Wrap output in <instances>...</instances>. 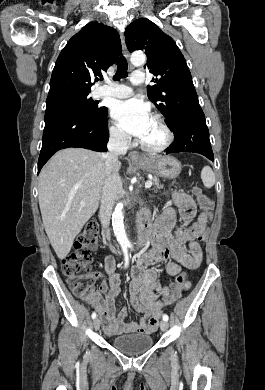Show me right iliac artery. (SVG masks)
Here are the masks:
<instances>
[{
  "instance_id": "82829eb1",
  "label": "right iliac artery",
  "mask_w": 265,
  "mask_h": 390,
  "mask_svg": "<svg viewBox=\"0 0 265 390\" xmlns=\"http://www.w3.org/2000/svg\"><path fill=\"white\" fill-rule=\"evenodd\" d=\"M123 252H124V256H125V268H126L128 266V263H129V255H128V250L126 247H123ZM91 317H92V319H95L96 313L93 312Z\"/></svg>"
}]
</instances>
